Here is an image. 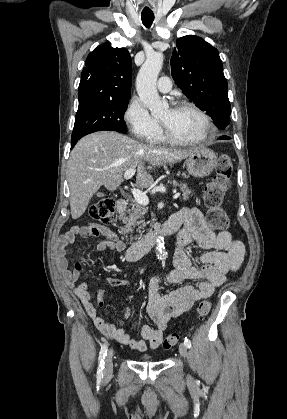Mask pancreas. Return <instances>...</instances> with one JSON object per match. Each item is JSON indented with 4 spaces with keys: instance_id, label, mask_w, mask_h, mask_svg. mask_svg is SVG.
I'll list each match as a JSON object with an SVG mask.
<instances>
[{
    "instance_id": "1",
    "label": "pancreas",
    "mask_w": 287,
    "mask_h": 419,
    "mask_svg": "<svg viewBox=\"0 0 287 419\" xmlns=\"http://www.w3.org/2000/svg\"><path fill=\"white\" fill-rule=\"evenodd\" d=\"M178 187L182 191L183 200H187L188 197L192 194V191L187 187L185 183L179 184ZM126 213H123L120 217L123 224H125V226L121 228L120 232L124 235L127 233H133V230L137 227V231L140 233L145 226L144 217L147 214V207L133 200L131 203V208L128 209ZM134 239L138 240L140 239V236L137 235L134 237Z\"/></svg>"
}]
</instances>
